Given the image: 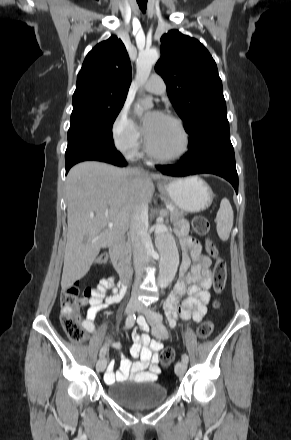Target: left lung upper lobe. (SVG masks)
<instances>
[{
  "instance_id": "5c2ea615",
  "label": "left lung upper lobe",
  "mask_w": 291,
  "mask_h": 440,
  "mask_svg": "<svg viewBox=\"0 0 291 440\" xmlns=\"http://www.w3.org/2000/svg\"><path fill=\"white\" fill-rule=\"evenodd\" d=\"M155 70L166 82L170 101L185 122L189 147L215 130L229 128L216 63L197 39L177 30L164 34Z\"/></svg>"
}]
</instances>
